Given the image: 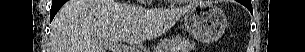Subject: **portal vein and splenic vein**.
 <instances>
[{"label":"portal vein and splenic vein","mask_w":305,"mask_h":52,"mask_svg":"<svg viewBox=\"0 0 305 52\" xmlns=\"http://www.w3.org/2000/svg\"><path fill=\"white\" fill-rule=\"evenodd\" d=\"M108 46L111 50H113L114 52H120L121 49H123V47H121L120 45H118L117 42H109Z\"/></svg>","instance_id":"obj_1"}]
</instances>
